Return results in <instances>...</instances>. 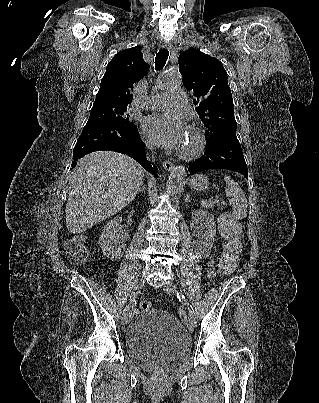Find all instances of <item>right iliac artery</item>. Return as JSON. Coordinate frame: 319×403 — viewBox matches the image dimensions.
Instances as JSON below:
<instances>
[{
  "mask_svg": "<svg viewBox=\"0 0 319 403\" xmlns=\"http://www.w3.org/2000/svg\"><path fill=\"white\" fill-rule=\"evenodd\" d=\"M126 308H129V305H128V306H126ZM126 308H125V309H126ZM125 309H124V310H125Z\"/></svg>",
  "mask_w": 319,
  "mask_h": 403,
  "instance_id": "82829eb1",
  "label": "right iliac artery"
}]
</instances>
